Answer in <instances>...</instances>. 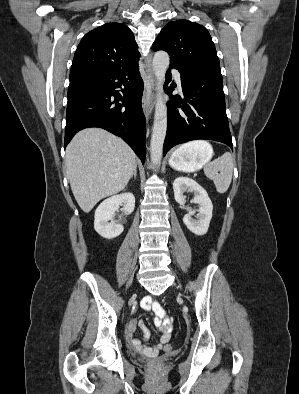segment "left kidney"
<instances>
[{
  "label": "left kidney",
  "mask_w": 299,
  "mask_h": 394,
  "mask_svg": "<svg viewBox=\"0 0 299 394\" xmlns=\"http://www.w3.org/2000/svg\"><path fill=\"white\" fill-rule=\"evenodd\" d=\"M187 190L194 192L192 202L199 205L198 220H194L191 217L195 211L188 210V214L184 216L183 222L192 233L202 236L208 231L212 218L213 205L206 190L188 177H178L173 182L174 197L177 203L181 205L186 203L184 192Z\"/></svg>",
  "instance_id": "left-kidney-1"
}]
</instances>
